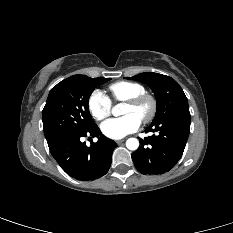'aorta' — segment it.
Masks as SVG:
<instances>
[{
  "instance_id": "aorta-1",
  "label": "aorta",
  "mask_w": 233,
  "mask_h": 233,
  "mask_svg": "<svg viewBox=\"0 0 233 233\" xmlns=\"http://www.w3.org/2000/svg\"><path fill=\"white\" fill-rule=\"evenodd\" d=\"M120 105H116L115 107H113L112 109V114L114 116H119L121 114V111H120ZM126 147L129 149V150H137L138 147H139V141L138 139L136 138H129L127 141H126Z\"/></svg>"
}]
</instances>
